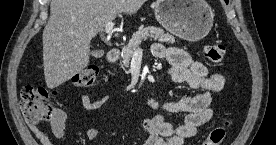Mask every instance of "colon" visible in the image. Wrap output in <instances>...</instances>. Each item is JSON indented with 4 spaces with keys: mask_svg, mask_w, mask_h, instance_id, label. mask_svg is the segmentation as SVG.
Returning a JSON list of instances; mask_svg holds the SVG:
<instances>
[{
    "mask_svg": "<svg viewBox=\"0 0 276 145\" xmlns=\"http://www.w3.org/2000/svg\"><path fill=\"white\" fill-rule=\"evenodd\" d=\"M203 53L207 60L219 64L224 60L226 49L221 44H211L204 47ZM97 76L98 68L90 65L76 72L70 81L77 88H88L93 85ZM53 96V92L44 87L27 85L22 88L20 107L28 124L38 126L53 118L55 114L52 104ZM229 127V121L214 126L203 145H221L227 136Z\"/></svg>",
    "mask_w": 276,
    "mask_h": 145,
    "instance_id": "1",
    "label": "colon"
}]
</instances>
